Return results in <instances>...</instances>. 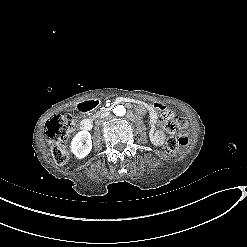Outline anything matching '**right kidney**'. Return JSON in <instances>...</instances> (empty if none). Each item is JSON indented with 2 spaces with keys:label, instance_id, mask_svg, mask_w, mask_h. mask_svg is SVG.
Listing matches in <instances>:
<instances>
[{
  "label": "right kidney",
  "instance_id": "1",
  "mask_svg": "<svg viewBox=\"0 0 247 247\" xmlns=\"http://www.w3.org/2000/svg\"><path fill=\"white\" fill-rule=\"evenodd\" d=\"M92 149L91 134L88 131H80L72 139L71 150L78 158L86 157Z\"/></svg>",
  "mask_w": 247,
  "mask_h": 247
}]
</instances>
